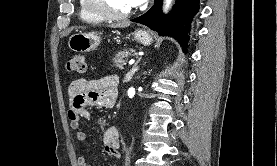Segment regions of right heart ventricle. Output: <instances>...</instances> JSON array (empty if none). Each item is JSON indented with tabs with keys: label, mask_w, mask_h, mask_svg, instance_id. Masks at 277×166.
Wrapping results in <instances>:
<instances>
[{
	"label": "right heart ventricle",
	"mask_w": 277,
	"mask_h": 166,
	"mask_svg": "<svg viewBox=\"0 0 277 166\" xmlns=\"http://www.w3.org/2000/svg\"><path fill=\"white\" fill-rule=\"evenodd\" d=\"M79 15L81 20L88 23H101L103 22V19L91 14L86 10L84 7L83 0H79Z\"/></svg>",
	"instance_id": "obj_1"
}]
</instances>
